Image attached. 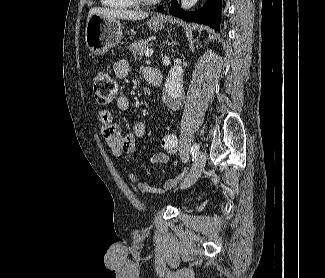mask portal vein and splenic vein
<instances>
[{
    "label": "portal vein and splenic vein",
    "mask_w": 325,
    "mask_h": 278,
    "mask_svg": "<svg viewBox=\"0 0 325 278\" xmlns=\"http://www.w3.org/2000/svg\"><path fill=\"white\" fill-rule=\"evenodd\" d=\"M153 49H148L147 51H146V53H145V56L146 57H150V56H152L153 55Z\"/></svg>",
    "instance_id": "1"
}]
</instances>
